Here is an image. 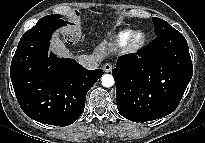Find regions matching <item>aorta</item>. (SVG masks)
I'll return each instance as SVG.
<instances>
[{"label": "aorta", "mask_w": 205, "mask_h": 143, "mask_svg": "<svg viewBox=\"0 0 205 143\" xmlns=\"http://www.w3.org/2000/svg\"><path fill=\"white\" fill-rule=\"evenodd\" d=\"M101 82L104 87H111L114 84V78L110 74H104L101 78Z\"/></svg>", "instance_id": "obj_1"}]
</instances>
